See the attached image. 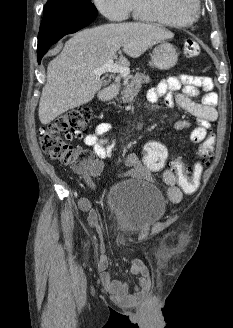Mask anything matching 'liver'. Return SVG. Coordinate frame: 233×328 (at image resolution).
Listing matches in <instances>:
<instances>
[{"label":"liver","mask_w":233,"mask_h":328,"mask_svg":"<svg viewBox=\"0 0 233 328\" xmlns=\"http://www.w3.org/2000/svg\"><path fill=\"white\" fill-rule=\"evenodd\" d=\"M174 34L146 23H110L84 29L69 39L61 53L47 67V82L39 102V119L49 124L69 109L91 101L101 89L103 80L94 69L110 59L128 67L129 61L117 51L123 47L126 55L137 58L148 48Z\"/></svg>","instance_id":"6515ba94"}]
</instances>
